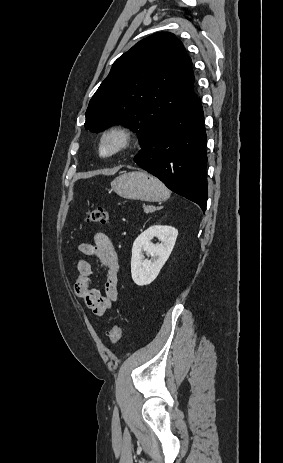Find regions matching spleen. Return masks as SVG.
Listing matches in <instances>:
<instances>
[{"label":"spleen","mask_w":283,"mask_h":463,"mask_svg":"<svg viewBox=\"0 0 283 463\" xmlns=\"http://www.w3.org/2000/svg\"><path fill=\"white\" fill-rule=\"evenodd\" d=\"M166 189H167V188H166ZM169 196H170V191L167 189V190H166V193H165V198H164V199H167Z\"/></svg>","instance_id":"obj_1"}]
</instances>
